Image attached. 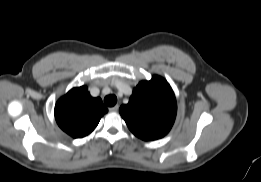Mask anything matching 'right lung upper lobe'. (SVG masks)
<instances>
[{
  "instance_id": "obj_1",
  "label": "right lung upper lobe",
  "mask_w": 261,
  "mask_h": 182,
  "mask_svg": "<svg viewBox=\"0 0 261 182\" xmlns=\"http://www.w3.org/2000/svg\"><path fill=\"white\" fill-rule=\"evenodd\" d=\"M102 100L93 98L86 86L71 89L55 105V119L59 127L73 138L90 134L107 113Z\"/></svg>"
}]
</instances>
